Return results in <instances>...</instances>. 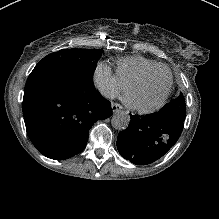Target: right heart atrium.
<instances>
[{"label": "right heart atrium", "mask_w": 219, "mask_h": 219, "mask_svg": "<svg viewBox=\"0 0 219 219\" xmlns=\"http://www.w3.org/2000/svg\"><path fill=\"white\" fill-rule=\"evenodd\" d=\"M93 80L98 89L110 98L116 97L124 89L111 68L104 63H100L94 68Z\"/></svg>", "instance_id": "obj_1"}]
</instances>
